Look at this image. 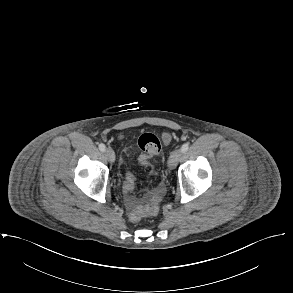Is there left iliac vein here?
I'll list each match as a JSON object with an SVG mask.
<instances>
[{"label":"left iliac vein","instance_id":"1","mask_svg":"<svg viewBox=\"0 0 293 293\" xmlns=\"http://www.w3.org/2000/svg\"><path fill=\"white\" fill-rule=\"evenodd\" d=\"M181 155H182V151L177 149V150H174L169 159H168V167L170 169H174L179 161V159L181 158Z\"/></svg>","mask_w":293,"mask_h":293}]
</instances>
